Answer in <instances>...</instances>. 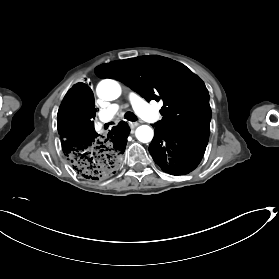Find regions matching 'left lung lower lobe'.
Wrapping results in <instances>:
<instances>
[{"instance_id": "obj_1", "label": "left lung lower lobe", "mask_w": 279, "mask_h": 279, "mask_svg": "<svg viewBox=\"0 0 279 279\" xmlns=\"http://www.w3.org/2000/svg\"><path fill=\"white\" fill-rule=\"evenodd\" d=\"M206 136H189L155 127L149 152L155 163L171 175L188 174L200 163L207 143Z\"/></svg>"}]
</instances>
